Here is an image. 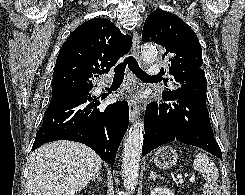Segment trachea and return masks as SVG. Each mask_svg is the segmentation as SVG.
<instances>
[{
  "mask_svg": "<svg viewBox=\"0 0 245 195\" xmlns=\"http://www.w3.org/2000/svg\"><path fill=\"white\" fill-rule=\"evenodd\" d=\"M128 65L129 69L141 80L150 79L158 77L159 75L150 76L145 71H143L138 62L133 56H128L124 59L122 63L114 68V77L113 81H123L125 75V68Z\"/></svg>",
  "mask_w": 245,
  "mask_h": 195,
  "instance_id": "trachea-1",
  "label": "trachea"
}]
</instances>
